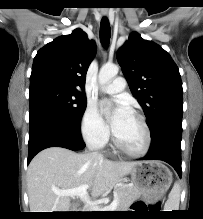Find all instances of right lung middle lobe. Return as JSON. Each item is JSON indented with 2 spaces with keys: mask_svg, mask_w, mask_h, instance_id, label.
<instances>
[{
  "mask_svg": "<svg viewBox=\"0 0 203 219\" xmlns=\"http://www.w3.org/2000/svg\"><path fill=\"white\" fill-rule=\"evenodd\" d=\"M30 115L42 114L68 126H79L86 109L84 94L57 83L30 84Z\"/></svg>",
  "mask_w": 203,
  "mask_h": 219,
  "instance_id": "dd1d6c3e",
  "label": "right lung middle lobe"
}]
</instances>
